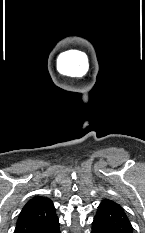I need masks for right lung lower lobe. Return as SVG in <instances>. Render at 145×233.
<instances>
[{"mask_svg": "<svg viewBox=\"0 0 145 233\" xmlns=\"http://www.w3.org/2000/svg\"><path fill=\"white\" fill-rule=\"evenodd\" d=\"M38 233H60L58 218Z\"/></svg>", "mask_w": 145, "mask_h": 233, "instance_id": "98d812e1", "label": "right lung lower lobe"}]
</instances>
